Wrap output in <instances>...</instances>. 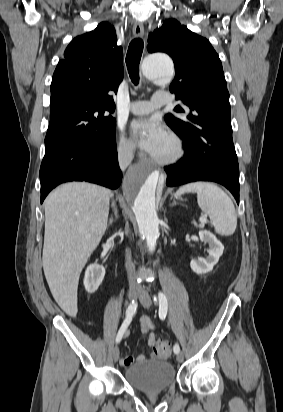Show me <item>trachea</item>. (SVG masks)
Listing matches in <instances>:
<instances>
[{
  "instance_id": "trachea-1",
  "label": "trachea",
  "mask_w": 283,
  "mask_h": 412,
  "mask_svg": "<svg viewBox=\"0 0 283 412\" xmlns=\"http://www.w3.org/2000/svg\"><path fill=\"white\" fill-rule=\"evenodd\" d=\"M143 52V41L140 38H136L131 41L127 55H126V65L128 69L129 76L134 85L139 83V64Z\"/></svg>"
}]
</instances>
